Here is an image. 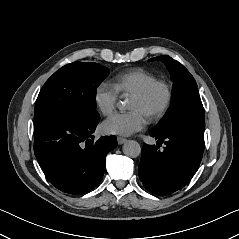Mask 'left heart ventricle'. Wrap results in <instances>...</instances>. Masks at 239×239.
Segmentation results:
<instances>
[{"label": "left heart ventricle", "instance_id": "b2bd125f", "mask_svg": "<svg viewBox=\"0 0 239 239\" xmlns=\"http://www.w3.org/2000/svg\"><path fill=\"white\" fill-rule=\"evenodd\" d=\"M162 97L160 88H155L151 94L141 102H135L131 99L128 100V106L136 108L141 114H146L150 109L156 106Z\"/></svg>", "mask_w": 239, "mask_h": 239}]
</instances>
